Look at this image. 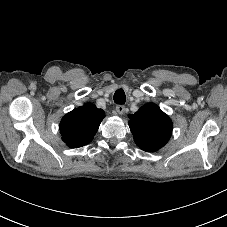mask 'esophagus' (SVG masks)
<instances>
[{
    "mask_svg": "<svg viewBox=\"0 0 227 227\" xmlns=\"http://www.w3.org/2000/svg\"><path fill=\"white\" fill-rule=\"evenodd\" d=\"M117 114L122 115L125 112V106L124 105H117L115 108Z\"/></svg>",
    "mask_w": 227,
    "mask_h": 227,
    "instance_id": "esophagus-1",
    "label": "esophagus"
}]
</instances>
